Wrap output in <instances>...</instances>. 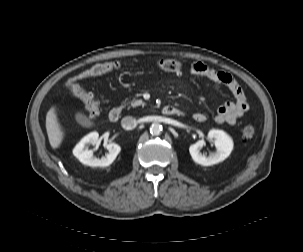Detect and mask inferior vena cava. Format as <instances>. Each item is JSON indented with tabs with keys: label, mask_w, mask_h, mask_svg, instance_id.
<instances>
[{
	"label": "inferior vena cava",
	"mask_w": 303,
	"mask_h": 252,
	"mask_svg": "<svg viewBox=\"0 0 303 252\" xmlns=\"http://www.w3.org/2000/svg\"><path fill=\"white\" fill-rule=\"evenodd\" d=\"M121 125L125 130H132L137 125V120L132 116H126L121 120Z\"/></svg>",
	"instance_id": "inferior-vena-cava-1"
}]
</instances>
